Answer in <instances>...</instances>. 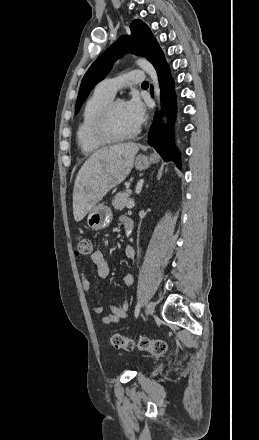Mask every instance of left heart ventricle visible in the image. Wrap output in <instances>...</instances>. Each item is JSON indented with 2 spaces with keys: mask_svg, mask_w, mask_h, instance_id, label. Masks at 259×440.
<instances>
[{
  "mask_svg": "<svg viewBox=\"0 0 259 440\" xmlns=\"http://www.w3.org/2000/svg\"><path fill=\"white\" fill-rule=\"evenodd\" d=\"M112 124L114 131L120 135L128 134L137 128L126 113L123 101L118 102L114 107Z\"/></svg>",
  "mask_w": 259,
  "mask_h": 440,
  "instance_id": "left-heart-ventricle-1",
  "label": "left heart ventricle"
}]
</instances>
